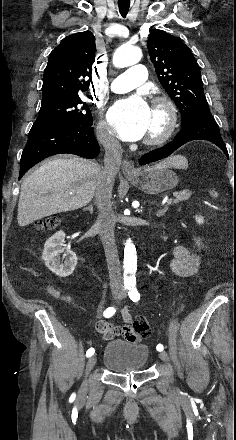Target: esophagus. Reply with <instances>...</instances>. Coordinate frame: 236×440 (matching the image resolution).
<instances>
[{"instance_id": "esophagus-1", "label": "esophagus", "mask_w": 236, "mask_h": 440, "mask_svg": "<svg viewBox=\"0 0 236 440\" xmlns=\"http://www.w3.org/2000/svg\"><path fill=\"white\" fill-rule=\"evenodd\" d=\"M122 170L124 175L127 177L136 175V169L132 161L124 160L122 163Z\"/></svg>"}]
</instances>
